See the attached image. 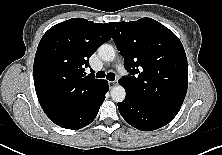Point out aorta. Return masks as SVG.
I'll return each mask as SVG.
<instances>
[{"label": "aorta", "mask_w": 222, "mask_h": 155, "mask_svg": "<svg viewBox=\"0 0 222 155\" xmlns=\"http://www.w3.org/2000/svg\"><path fill=\"white\" fill-rule=\"evenodd\" d=\"M100 58L106 62L113 61L115 58V49L110 44H103L98 49ZM125 89L121 85H116L111 89V98L115 102H122L125 99Z\"/></svg>", "instance_id": "762f6f07"}]
</instances>
